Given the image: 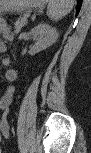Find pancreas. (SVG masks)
<instances>
[{
  "label": "pancreas",
  "mask_w": 91,
  "mask_h": 153,
  "mask_svg": "<svg viewBox=\"0 0 91 153\" xmlns=\"http://www.w3.org/2000/svg\"><path fill=\"white\" fill-rule=\"evenodd\" d=\"M29 16V13L21 17L15 24V32L18 33L20 31V28L24 26L27 23V18Z\"/></svg>",
  "instance_id": "obj_1"
}]
</instances>
